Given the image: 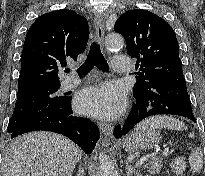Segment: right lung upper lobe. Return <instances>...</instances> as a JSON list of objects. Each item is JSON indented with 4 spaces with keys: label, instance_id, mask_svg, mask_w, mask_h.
Instances as JSON below:
<instances>
[{
    "label": "right lung upper lobe",
    "instance_id": "obj_1",
    "mask_svg": "<svg viewBox=\"0 0 205 176\" xmlns=\"http://www.w3.org/2000/svg\"><path fill=\"white\" fill-rule=\"evenodd\" d=\"M88 41L86 18L71 10L40 16L29 28L21 57L18 96L60 85L58 70Z\"/></svg>",
    "mask_w": 205,
    "mask_h": 176
}]
</instances>
